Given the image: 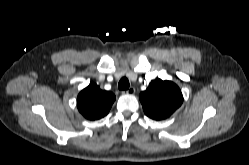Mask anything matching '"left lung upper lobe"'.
<instances>
[{"label": "left lung upper lobe", "mask_w": 249, "mask_h": 165, "mask_svg": "<svg viewBox=\"0 0 249 165\" xmlns=\"http://www.w3.org/2000/svg\"><path fill=\"white\" fill-rule=\"evenodd\" d=\"M144 113L154 119L170 117L183 102L180 88L171 81L155 79L140 93Z\"/></svg>", "instance_id": "left-lung-upper-lobe-1"}]
</instances>
